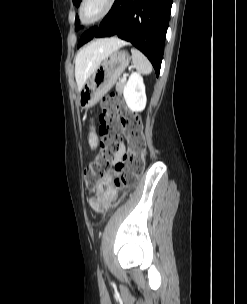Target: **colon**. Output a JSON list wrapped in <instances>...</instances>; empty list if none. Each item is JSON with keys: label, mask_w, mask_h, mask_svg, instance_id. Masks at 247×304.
Wrapping results in <instances>:
<instances>
[{"label": "colon", "mask_w": 247, "mask_h": 304, "mask_svg": "<svg viewBox=\"0 0 247 304\" xmlns=\"http://www.w3.org/2000/svg\"><path fill=\"white\" fill-rule=\"evenodd\" d=\"M103 112L99 117L100 151L84 172L88 190H95L91 200L95 209L114 204L120 190L133 187L145 166L146 141L141 119L128 111L118 94H110L103 99ZM124 135L128 150L113 170H108L119 139Z\"/></svg>", "instance_id": "5ec220e1"}]
</instances>
